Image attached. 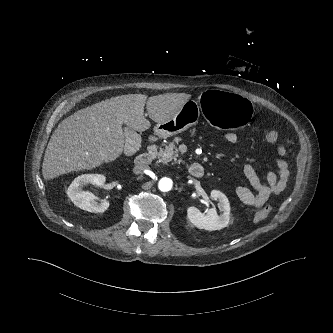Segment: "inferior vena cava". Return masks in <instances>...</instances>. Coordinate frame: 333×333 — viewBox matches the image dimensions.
<instances>
[{
  "label": "inferior vena cava",
  "instance_id": "602c4592",
  "mask_svg": "<svg viewBox=\"0 0 333 333\" xmlns=\"http://www.w3.org/2000/svg\"><path fill=\"white\" fill-rule=\"evenodd\" d=\"M148 169V166L147 165H136V166H134V168H133V172L135 173V174H141V173H143L145 170H147Z\"/></svg>",
  "mask_w": 333,
  "mask_h": 333
}]
</instances>
